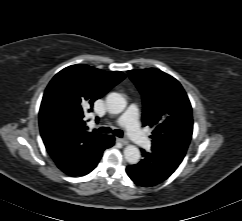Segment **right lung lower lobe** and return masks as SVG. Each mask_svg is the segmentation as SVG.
<instances>
[{"instance_id": "98d812e1", "label": "right lung lower lobe", "mask_w": 242, "mask_h": 221, "mask_svg": "<svg viewBox=\"0 0 242 221\" xmlns=\"http://www.w3.org/2000/svg\"><path fill=\"white\" fill-rule=\"evenodd\" d=\"M114 144V137L112 135H104L96 143L89 144L80 160L81 166H58L63 172L71 176H83L91 172L98 164L102 157L103 151L110 148Z\"/></svg>"}]
</instances>
